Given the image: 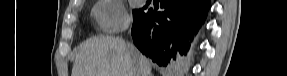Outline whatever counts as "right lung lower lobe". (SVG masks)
<instances>
[{
    "instance_id": "98d812e1",
    "label": "right lung lower lobe",
    "mask_w": 287,
    "mask_h": 76,
    "mask_svg": "<svg viewBox=\"0 0 287 76\" xmlns=\"http://www.w3.org/2000/svg\"><path fill=\"white\" fill-rule=\"evenodd\" d=\"M209 6L210 0H161L163 12L150 9L133 20L134 44L160 66L171 64L186 54Z\"/></svg>"
}]
</instances>
